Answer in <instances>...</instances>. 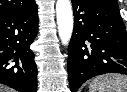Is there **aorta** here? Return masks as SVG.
<instances>
[{"mask_svg":"<svg viewBox=\"0 0 127 92\" xmlns=\"http://www.w3.org/2000/svg\"><path fill=\"white\" fill-rule=\"evenodd\" d=\"M58 34L63 45H68L73 32V11L70 0H57Z\"/></svg>","mask_w":127,"mask_h":92,"instance_id":"obj_1","label":"aorta"}]
</instances>
